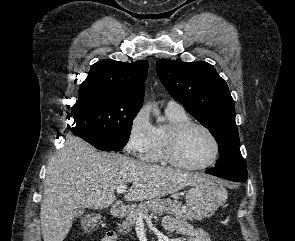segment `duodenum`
Segmentation results:
<instances>
[{
  "label": "duodenum",
  "instance_id": "410a0bca",
  "mask_svg": "<svg viewBox=\"0 0 295 241\" xmlns=\"http://www.w3.org/2000/svg\"><path fill=\"white\" fill-rule=\"evenodd\" d=\"M125 210V205L123 203H114L111 206L112 215L115 217L122 216Z\"/></svg>",
  "mask_w": 295,
  "mask_h": 241
}]
</instances>
